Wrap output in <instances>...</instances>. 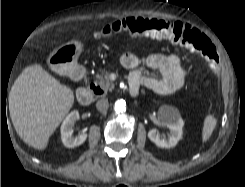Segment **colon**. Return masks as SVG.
I'll list each match as a JSON object with an SVG mask.
<instances>
[{
	"label": "colon",
	"mask_w": 245,
	"mask_h": 187,
	"mask_svg": "<svg viewBox=\"0 0 245 187\" xmlns=\"http://www.w3.org/2000/svg\"><path fill=\"white\" fill-rule=\"evenodd\" d=\"M122 33L166 39L202 55L213 71L219 68V57L211 40L189 24L160 18L125 17L105 25L93 38L105 39Z\"/></svg>",
	"instance_id": "obj_1"
}]
</instances>
